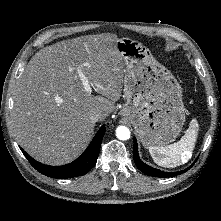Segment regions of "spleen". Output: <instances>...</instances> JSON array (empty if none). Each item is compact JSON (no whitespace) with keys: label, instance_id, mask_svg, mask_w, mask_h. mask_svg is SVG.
I'll list each match as a JSON object with an SVG mask.
<instances>
[{"label":"spleen","instance_id":"3e777b00","mask_svg":"<svg viewBox=\"0 0 221 221\" xmlns=\"http://www.w3.org/2000/svg\"><path fill=\"white\" fill-rule=\"evenodd\" d=\"M198 122L193 119L184 136L168 146H150L149 153L154 162L162 167L174 168L180 166L192 157V151L198 136Z\"/></svg>","mask_w":221,"mask_h":221}]
</instances>
